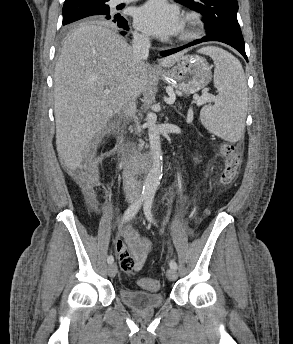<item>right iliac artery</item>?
<instances>
[{
	"mask_svg": "<svg viewBox=\"0 0 293 344\" xmlns=\"http://www.w3.org/2000/svg\"><path fill=\"white\" fill-rule=\"evenodd\" d=\"M146 197L145 196H141L136 202H134L133 204H131L127 210L125 211L124 215H123V220L122 222H127L130 219H132L136 213L138 212L139 208L141 207L142 203L145 201ZM114 258L112 255H109L107 258V262L108 264L113 263Z\"/></svg>",
	"mask_w": 293,
	"mask_h": 344,
	"instance_id": "obj_1",
	"label": "right iliac artery"
}]
</instances>
